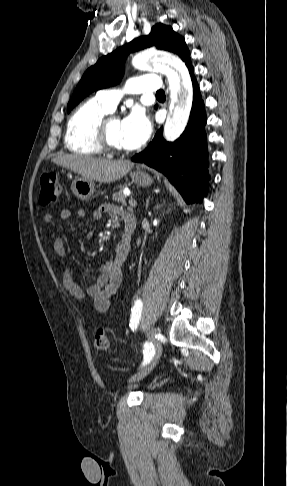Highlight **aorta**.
<instances>
[{
	"label": "aorta",
	"instance_id": "obj_1",
	"mask_svg": "<svg viewBox=\"0 0 287 486\" xmlns=\"http://www.w3.org/2000/svg\"><path fill=\"white\" fill-rule=\"evenodd\" d=\"M132 64L135 68L151 66L167 76L171 103L164 137L168 141L176 140L186 127L191 108L192 84L186 66L179 58L169 55L139 56L132 60Z\"/></svg>",
	"mask_w": 287,
	"mask_h": 486
}]
</instances>
